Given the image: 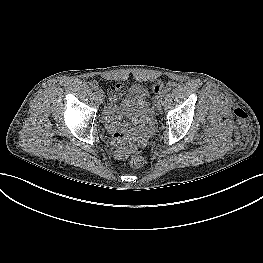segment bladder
Instances as JSON below:
<instances>
[{"label": "bladder", "instance_id": "31cf9c89", "mask_svg": "<svg viewBox=\"0 0 263 263\" xmlns=\"http://www.w3.org/2000/svg\"><path fill=\"white\" fill-rule=\"evenodd\" d=\"M146 112L147 109L142 96L134 93L122 98L118 103V107L113 109L111 116L116 118L118 115H120L124 122L135 124V118H137V116L146 114ZM141 120H143V118H141ZM148 121L149 117L147 116L145 122Z\"/></svg>", "mask_w": 263, "mask_h": 263}]
</instances>
